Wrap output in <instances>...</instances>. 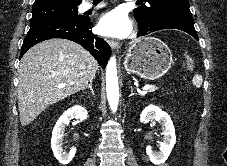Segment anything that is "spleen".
I'll use <instances>...</instances> for the list:
<instances>
[{"label": "spleen", "mask_w": 227, "mask_h": 166, "mask_svg": "<svg viewBox=\"0 0 227 166\" xmlns=\"http://www.w3.org/2000/svg\"><path fill=\"white\" fill-rule=\"evenodd\" d=\"M203 79L200 75H195L192 79V83L195 87L199 88L202 85Z\"/></svg>", "instance_id": "spleen-1"}]
</instances>
